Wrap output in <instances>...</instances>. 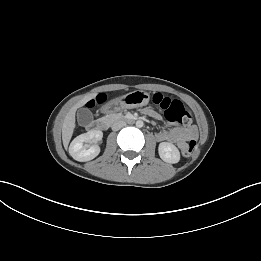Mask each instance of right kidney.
<instances>
[{"instance_id": "ca27d5eb", "label": "right kidney", "mask_w": 261, "mask_h": 261, "mask_svg": "<svg viewBox=\"0 0 261 261\" xmlns=\"http://www.w3.org/2000/svg\"><path fill=\"white\" fill-rule=\"evenodd\" d=\"M103 133L100 130H91L77 136L69 146V154L79 162H86L94 159L100 153V147L96 144L91 146L84 143H92L101 140Z\"/></svg>"}]
</instances>
